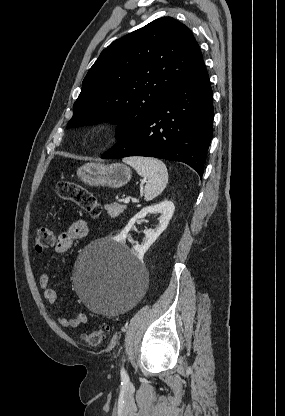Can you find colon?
Here are the masks:
<instances>
[{
	"instance_id": "5ec220e1",
	"label": "colon",
	"mask_w": 285,
	"mask_h": 416,
	"mask_svg": "<svg viewBox=\"0 0 285 416\" xmlns=\"http://www.w3.org/2000/svg\"><path fill=\"white\" fill-rule=\"evenodd\" d=\"M55 192L60 199L76 204L91 217L96 218L100 216L101 205L98 199L82 185L75 182L62 181L57 184ZM54 242L55 234L52 229L41 228L37 231L35 237V249L37 252H44L50 249ZM108 331L109 326L102 324L92 332L82 333L81 339L88 345L99 346L104 342Z\"/></svg>"
}]
</instances>
